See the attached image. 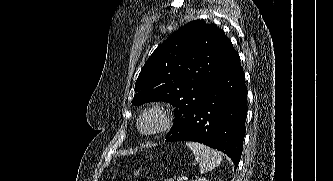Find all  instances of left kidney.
<instances>
[{
	"label": "left kidney",
	"mask_w": 333,
	"mask_h": 181,
	"mask_svg": "<svg viewBox=\"0 0 333 181\" xmlns=\"http://www.w3.org/2000/svg\"><path fill=\"white\" fill-rule=\"evenodd\" d=\"M193 181H209V180L206 179V178H204V177H202V178H197V179H195Z\"/></svg>",
	"instance_id": "1"
}]
</instances>
